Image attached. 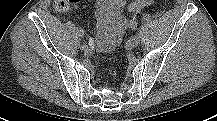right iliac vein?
Here are the masks:
<instances>
[{
	"label": "right iliac vein",
	"mask_w": 217,
	"mask_h": 121,
	"mask_svg": "<svg viewBox=\"0 0 217 121\" xmlns=\"http://www.w3.org/2000/svg\"><path fill=\"white\" fill-rule=\"evenodd\" d=\"M81 49H82L84 52H89V51H90L89 46L86 45V44H82V45H81Z\"/></svg>",
	"instance_id": "1"
}]
</instances>
